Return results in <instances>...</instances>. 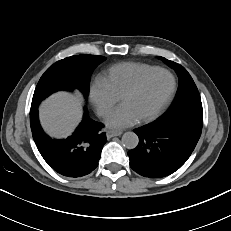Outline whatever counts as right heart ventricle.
Masks as SVG:
<instances>
[{"instance_id":"right-heart-ventricle-1","label":"right heart ventricle","mask_w":231,"mask_h":231,"mask_svg":"<svg viewBox=\"0 0 231 231\" xmlns=\"http://www.w3.org/2000/svg\"><path fill=\"white\" fill-rule=\"evenodd\" d=\"M158 68L157 66L125 62L112 66L103 77L112 92L120 98L140 77Z\"/></svg>"}]
</instances>
